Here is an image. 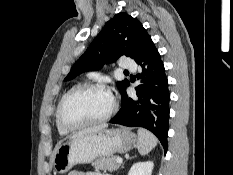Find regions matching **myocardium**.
I'll use <instances>...</instances> for the list:
<instances>
[{
  "label": "myocardium",
  "instance_id": "1",
  "mask_svg": "<svg viewBox=\"0 0 233 175\" xmlns=\"http://www.w3.org/2000/svg\"><path fill=\"white\" fill-rule=\"evenodd\" d=\"M92 89L104 90L109 93L111 97V106L109 110L103 116H101L100 118L94 119V120H90V121L79 123V124H71L67 122L64 118L63 111H64V107L66 103L68 102V100L81 91L92 90ZM116 109H117V102L114 96L110 93V91L104 85L99 84V83H84V84L73 87L61 98L58 104V107H57V121H58V124L67 131L78 130V129H82L85 127H89V126H93V125L105 122L116 112Z\"/></svg>",
  "mask_w": 233,
  "mask_h": 175
}]
</instances>
